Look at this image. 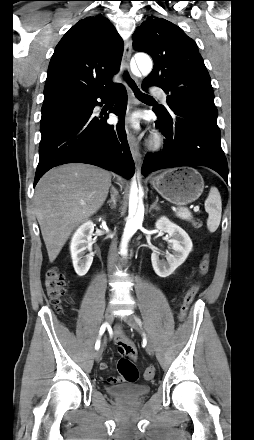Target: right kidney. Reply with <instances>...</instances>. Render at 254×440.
Instances as JSON below:
<instances>
[{
	"label": "right kidney",
	"mask_w": 254,
	"mask_h": 440,
	"mask_svg": "<svg viewBox=\"0 0 254 440\" xmlns=\"http://www.w3.org/2000/svg\"><path fill=\"white\" fill-rule=\"evenodd\" d=\"M93 231L94 223L89 220L80 225L72 236L70 252L73 267L78 276H84L93 262L92 253L85 255L86 250L90 252L92 250Z\"/></svg>",
	"instance_id": "1"
}]
</instances>
